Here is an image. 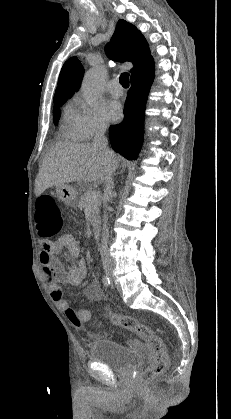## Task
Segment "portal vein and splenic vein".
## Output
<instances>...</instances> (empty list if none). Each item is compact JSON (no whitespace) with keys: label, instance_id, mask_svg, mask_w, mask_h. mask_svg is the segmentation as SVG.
Instances as JSON below:
<instances>
[{"label":"portal vein and splenic vein","instance_id":"portal-vein-and-splenic-vein-1","mask_svg":"<svg viewBox=\"0 0 231 419\" xmlns=\"http://www.w3.org/2000/svg\"><path fill=\"white\" fill-rule=\"evenodd\" d=\"M89 202L96 200L97 198H100V192L98 191H91L90 193H88L87 195Z\"/></svg>","mask_w":231,"mask_h":419}]
</instances>
